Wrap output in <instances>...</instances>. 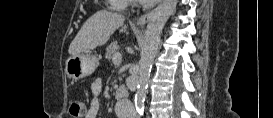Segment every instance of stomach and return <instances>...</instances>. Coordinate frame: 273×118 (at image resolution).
<instances>
[{
  "label": "stomach",
  "instance_id": "stomach-1",
  "mask_svg": "<svg viewBox=\"0 0 273 118\" xmlns=\"http://www.w3.org/2000/svg\"><path fill=\"white\" fill-rule=\"evenodd\" d=\"M98 59L95 55L82 52L71 55L66 61L65 72L73 80H79L90 76L98 67Z\"/></svg>",
  "mask_w": 273,
  "mask_h": 118
}]
</instances>
